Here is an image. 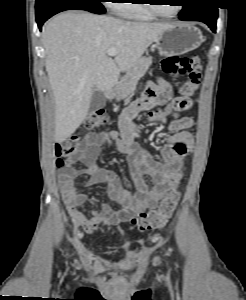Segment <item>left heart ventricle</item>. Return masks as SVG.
Listing matches in <instances>:
<instances>
[{
	"label": "left heart ventricle",
	"instance_id": "1",
	"mask_svg": "<svg viewBox=\"0 0 246 300\" xmlns=\"http://www.w3.org/2000/svg\"><path fill=\"white\" fill-rule=\"evenodd\" d=\"M162 3H170L174 5H158L159 9L161 12L164 14H173L177 9L178 5H175V1H170V0H160Z\"/></svg>",
	"mask_w": 246,
	"mask_h": 300
}]
</instances>
